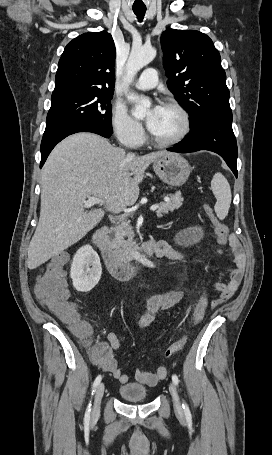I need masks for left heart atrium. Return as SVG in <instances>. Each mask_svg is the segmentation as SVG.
Instances as JSON below:
<instances>
[{
    "label": "left heart atrium",
    "mask_w": 272,
    "mask_h": 455,
    "mask_svg": "<svg viewBox=\"0 0 272 455\" xmlns=\"http://www.w3.org/2000/svg\"><path fill=\"white\" fill-rule=\"evenodd\" d=\"M161 109H162L161 105H155L151 109L149 116L147 117L146 120V125L150 131H153V129L155 128Z\"/></svg>",
    "instance_id": "obj_1"
}]
</instances>
